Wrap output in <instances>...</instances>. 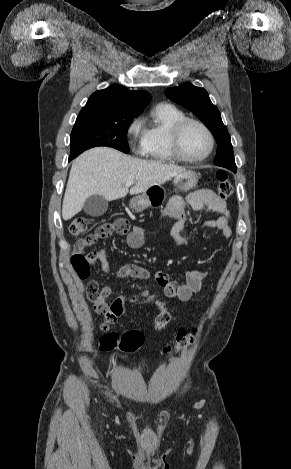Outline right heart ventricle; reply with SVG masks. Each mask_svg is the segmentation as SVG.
<instances>
[{"label": "right heart ventricle", "instance_id": "right-heart-ventricle-1", "mask_svg": "<svg viewBox=\"0 0 291 469\" xmlns=\"http://www.w3.org/2000/svg\"><path fill=\"white\" fill-rule=\"evenodd\" d=\"M184 117L185 114L173 105H157L143 127L141 154L156 162H175L177 159L170 147V130Z\"/></svg>", "mask_w": 291, "mask_h": 469}]
</instances>
